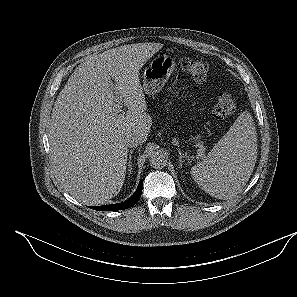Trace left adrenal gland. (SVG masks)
Wrapping results in <instances>:
<instances>
[{"instance_id": "1", "label": "left adrenal gland", "mask_w": 297, "mask_h": 297, "mask_svg": "<svg viewBox=\"0 0 297 297\" xmlns=\"http://www.w3.org/2000/svg\"><path fill=\"white\" fill-rule=\"evenodd\" d=\"M178 154H179L178 155L179 165L182 168V160H183V158L187 157V153L186 152L182 153L180 148H178Z\"/></svg>"}]
</instances>
